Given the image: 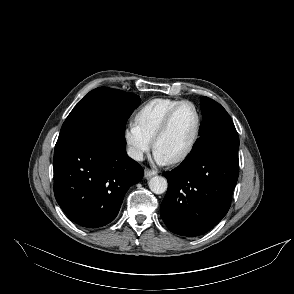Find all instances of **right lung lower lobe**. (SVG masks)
<instances>
[{
    "label": "right lung lower lobe",
    "mask_w": 294,
    "mask_h": 294,
    "mask_svg": "<svg viewBox=\"0 0 294 294\" xmlns=\"http://www.w3.org/2000/svg\"><path fill=\"white\" fill-rule=\"evenodd\" d=\"M125 145L124 136L113 133L56 144L54 194L72 221L97 228L115 219L127 190L143 178Z\"/></svg>",
    "instance_id": "obj_1"
}]
</instances>
